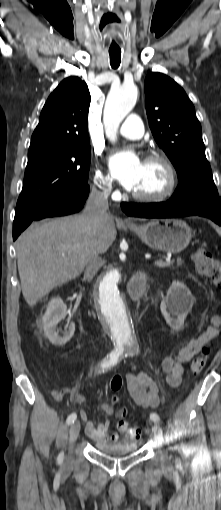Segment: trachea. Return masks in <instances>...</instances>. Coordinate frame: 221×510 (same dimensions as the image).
<instances>
[{"label": "trachea", "instance_id": "obj_1", "mask_svg": "<svg viewBox=\"0 0 221 510\" xmlns=\"http://www.w3.org/2000/svg\"><path fill=\"white\" fill-rule=\"evenodd\" d=\"M110 65L113 69H117L121 63V52H109Z\"/></svg>", "mask_w": 221, "mask_h": 510}]
</instances>
